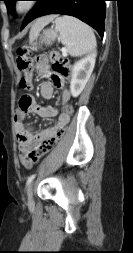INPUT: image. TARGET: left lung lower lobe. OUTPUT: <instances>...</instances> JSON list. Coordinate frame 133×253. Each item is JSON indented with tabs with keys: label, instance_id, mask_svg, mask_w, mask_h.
I'll return each mask as SVG.
<instances>
[{
	"label": "left lung lower lobe",
	"instance_id": "left-lung-lower-lobe-1",
	"mask_svg": "<svg viewBox=\"0 0 133 253\" xmlns=\"http://www.w3.org/2000/svg\"><path fill=\"white\" fill-rule=\"evenodd\" d=\"M38 3L26 16L22 28L37 17L48 14L74 16L104 34L105 1L107 0H33Z\"/></svg>",
	"mask_w": 133,
	"mask_h": 253
}]
</instances>
